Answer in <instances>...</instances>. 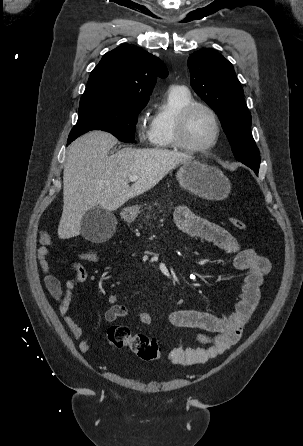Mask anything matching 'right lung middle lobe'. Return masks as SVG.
I'll list each match as a JSON object with an SVG mask.
<instances>
[{"mask_svg": "<svg viewBox=\"0 0 303 446\" xmlns=\"http://www.w3.org/2000/svg\"><path fill=\"white\" fill-rule=\"evenodd\" d=\"M145 107L120 104H87L79 106V117L67 144L91 130L110 132L123 142L134 138L137 115Z\"/></svg>", "mask_w": 303, "mask_h": 446, "instance_id": "dd1d6c3e", "label": "right lung middle lobe"}]
</instances>
